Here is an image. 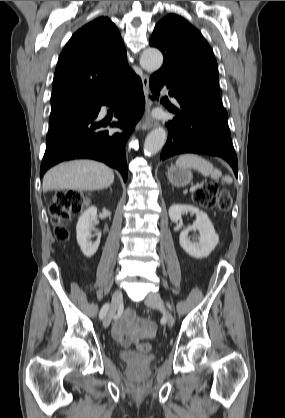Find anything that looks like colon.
I'll return each instance as SVG.
<instances>
[{"mask_svg":"<svg viewBox=\"0 0 285 418\" xmlns=\"http://www.w3.org/2000/svg\"><path fill=\"white\" fill-rule=\"evenodd\" d=\"M194 201L204 208L218 207L222 211H228L231 208L232 200L228 192L222 191L216 184L206 183L197 188L193 194ZM85 205V196L77 190H59L56 193L55 200L50 207L52 220L57 224L55 237L59 241H65L69 238L70 231L64 225V221L70 217L80 214ZM142 352H149L152 345L148 342H142L138 345Z\"/></svg>","mask_w":285,"mask_h":418,"instance_id":"1","label":"colon"}]
</instances>
